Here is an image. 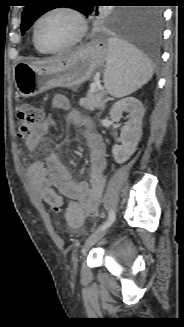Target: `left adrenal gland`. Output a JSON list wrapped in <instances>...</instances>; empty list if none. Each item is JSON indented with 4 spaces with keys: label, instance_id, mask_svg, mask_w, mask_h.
Here are the masks:
<instances>
[{
    "label": "left adrenal gland",
    "instance_id": "left-adrenal-gland-1",
    "mask_svg": "<svg viewBox=\"0 0 184 327\" xmlns=\"http://www.w3.org/2000/svg\"><path fill=\"white\" fill-rule=\"evenodd\" d=\"M106 101H107V99H105V100L103 101V107H102V109H104V105H105Z\"/></svg>",
    "mask_w": 184,
    "mask_h": 327
}]
</instances>
